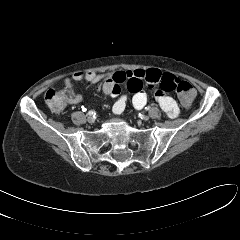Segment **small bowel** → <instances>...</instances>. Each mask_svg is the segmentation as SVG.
<instances>
[{"instance_id":"c3829d8e","label":"small bowel","mask_w":240,"mask_h":240,"mask_svg":"<svg viewBox=\"0 0 240 240\" xmlns=\"http://www.w3.org/2000/svg\"><path fill=\"white\" fill-rule=\"evenodd\" d=\"M82 80L97 84V91L117 98L112 107L113 113L116 115L125 110L128 100L127 94L122 93V84L126 86L128 93L133 94L132 104L135 109L140 110L147 103L148 96L143 90L144 84H147L154 88V97L168 117L175 118L179 114L178 104L169 95V92L175 88L176 83L180 80L171 73L162 72L155 68L116 71L111 74H98L94 71L74 72L64 80L71 103H79L82 100V95L76 92L73 86V82Z\"/></svg>"}]
</instances>
